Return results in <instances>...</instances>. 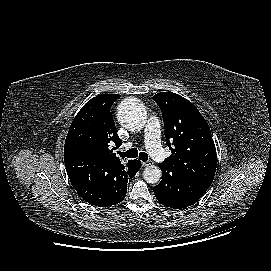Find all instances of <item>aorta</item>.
Returning <instances> with one entry per match:
<instances>
[{
	"label": "aorta",
	"instance_id": "1",
	"mask_svg": "<svg viewBox=\"0 0 271 271\" xmlns=\"http://www.w3.org/2000/svg\"><path fill=\"white\" fill-rule=\"evenodd\" d=\"M117 119L120 124L132 132L140 131L146 123V110L136 98H126L118 106ZM162 176L158 166L149 165L143 171V178L147 183H157Z\"/></svg>",
	"mask_w": 271,
	"mask_h": 271
}]
</instances>
